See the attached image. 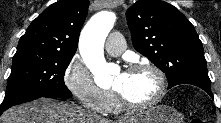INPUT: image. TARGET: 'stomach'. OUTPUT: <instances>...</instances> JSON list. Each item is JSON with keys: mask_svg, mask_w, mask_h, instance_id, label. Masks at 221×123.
I'll return each instance as SVG.
<instances>
[{"mask_svg": "<svg viewBox=\"0 0 221 123\" xmlns=\"http://www.w3.org/2000/svg\"><path fill=\"white\" fill-rule=\"evenodd\" d=\"M130 123H183V118L173 107L157 105L137 113Z\"/></svg>", "mask_w": 221, "mask_h": 123, "instance_id": "stomach-1", "label": "stomach"}]
</instances>
